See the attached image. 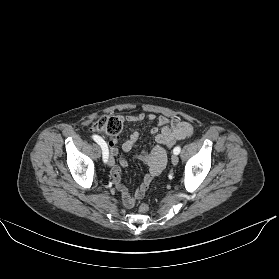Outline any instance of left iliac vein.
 Masks as SVG:
<instances>
[{"instance_id":"left-iliac-vein-1","label":"left iliac vein","mask_w":279,"mask_h":279,"mask_svg":"<svg viewBox=\"0 0 279 279\" xmlns=\"http://www.w3.org/2000/svg\"><path fill=\"white\" fill-rule=\"evenodd\" d=\"M171 162H172L173 165H177L178 164L179 158H178L177 154H173L172 155Z\"/></svg>"}]
</instances>
